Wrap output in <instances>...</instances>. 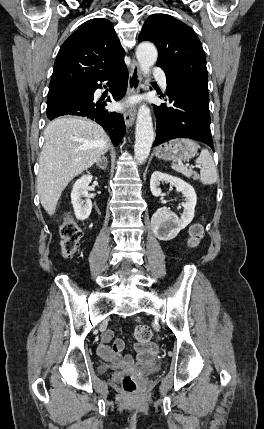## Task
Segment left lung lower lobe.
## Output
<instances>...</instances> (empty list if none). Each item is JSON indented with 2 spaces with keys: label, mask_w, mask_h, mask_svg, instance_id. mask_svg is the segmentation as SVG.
<instances>
[{
  "label": "left lung lower lobe",
  "mask_w": 264,
  "mask_h": 429,
  "mask_svg": "<svg viewBox=\"0 0 264 429\" xmlns=\"http://www.w3.org/2000/svg\"><path fill=\"white\" fill-rule=\"evenodd\" d=\"M167 96L171 106L154 105L157 115L156 139L153 146L174 138H190L209 145L213 150L210 131L208 90L164 69ZM164 97L163 94H160Z\"/></svg>",
  "instance_id": "0a47b994"
}]
</instances>
